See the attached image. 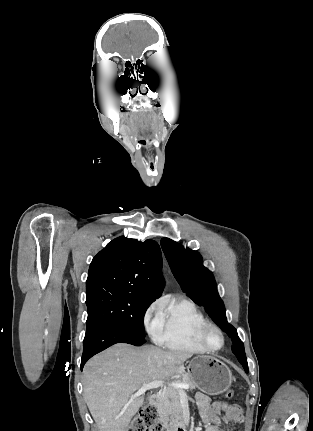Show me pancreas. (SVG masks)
Masks as SVG:
<instances>
[{
	"instance_id": "1",
	"label": "pancreas",
	"mask_w": 313,
	"mask_h": 431,
	"mask_svg": "<svg viewBox=\"0 0 313 431\" xmlns=\"http://www.w3.org/2000/svg\"><path fill=\"white\" fill-rule=\"evenodd\" d=\"M174 382L186 383L191 390L196 388L194 380L184 372L181 373L180 378H177ZM155 406L158 415L169 428L174 429L177 425L183 424V410L180 404V393L178 389L171 386L164 388L157 397Z\"/></svg>"
}]
</instances>
